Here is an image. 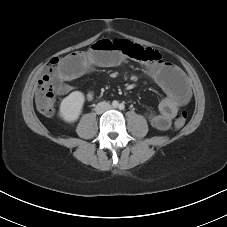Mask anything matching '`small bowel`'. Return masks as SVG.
<instances>
[{
	"mask_svg": "<svg viewBox=\"0 0 227 227\" xmlns=\"http://www.w3.org/2000/svg\"><path fill=\"white\" fill-rule=\"evenodd\" d=\"M125 54L116 49L109 39L95 42L87 51L72 53L61 60L55 77V91L58 95L73 90L71 81L81 77L94 67H114L125 60ZM149 76L165 93L157 112H148L146 117L152 127L167 130L180 107L191 97L184 73L175 65L158 62L147 69ZM93 99V93L86 94V100Z\"/></svg>",
	"mask_w": 227,
	"mask_h": 227,
	"instance_id": "c3829d8e",
	"label": "small bowel"
}]
</instances>
